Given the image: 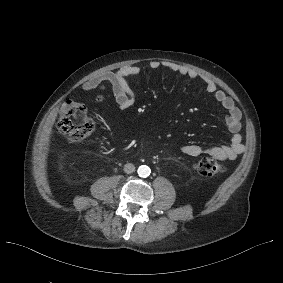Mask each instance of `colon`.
<instances>
[{
	"mask_svg": "<svg viewBox=\"0 0 283 283\" xmlns=\"http://www.w3.org/2000/svg\"><path fill=\"white\" fill-rule=\"evenodd\" d=\"M57 128L69 141L79 142L93 130V121L82 104L68 100L64 102ZM193 169L204 176H217L225 172V166L217 159L203 157L193 164Z\"/></svg>",
	"mask_w": 283,
	"mask_h": 283,
	"instance_id": "obj_1",
	"label": "colon"
}]
</instances>
